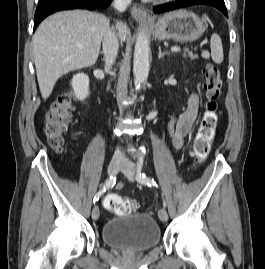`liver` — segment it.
<instances>
[{
    "mask_svg": "<svg viewBox=\"0 0 265 269\" xmlns=\"http://www.w3.org/2000/svg\"><path fill=\"white\" fill-rule=\"evenodd\" d=\"M108 27L104 15L86 10L58 12L39 25L33 37V55L44 99L64 74L96 63ZM117 29L125 41L126 25L118 23Z\"/></svg>",
    "mask_w": 265,
    "mask_h": 269,
    "instance_id": "6515ba94",
    "label": "liver"
}]
</instances>
